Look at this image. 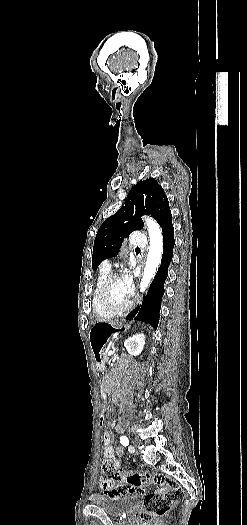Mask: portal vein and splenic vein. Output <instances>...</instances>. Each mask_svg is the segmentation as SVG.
I'll return each instance as SVG.
<instances>
[{
	"label": "portal vein and splenic vein",
	"instance_id": "1",
	"mask_svg": "<svg viewBox=\"0 0 247 525\" xmlns=\"http://www.w3.org/2000/svg\"><path fill=\"white\" fill-rule=\"evenodd\" d=\"M111 353H113V350H109V353H107V356H111Z\"/></svg>",
	"mask_w": 247,
	"mask_h": 525
}]
</instances>
